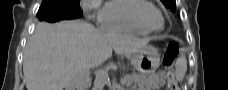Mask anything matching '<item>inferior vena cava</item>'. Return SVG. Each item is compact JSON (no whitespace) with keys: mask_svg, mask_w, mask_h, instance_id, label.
<instances>
[{"mask_svg":"<svg viewBox=\"0 0 228 90\" xmlns=\"http://www.w3.org/2000/svg\"><path fill=\"white\" fill-rule=\"evenodd\" d=\"M71 86L73 90H87L90 86V69H79L73 76Z\"/></svg>","mask_w":228,"mask_h":90,"instance_id":"602c4592","label":"inferior vena cava"}]
</instances>
